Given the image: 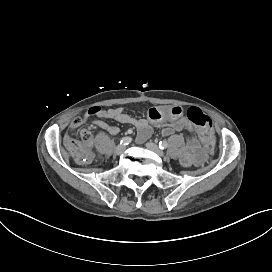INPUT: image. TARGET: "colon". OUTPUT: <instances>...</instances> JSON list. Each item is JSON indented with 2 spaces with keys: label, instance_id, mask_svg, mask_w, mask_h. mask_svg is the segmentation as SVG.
<instances>
[{
  "label": "colon",
  "instance_id": "5ec220e1",
  "mask_svg": "<svg viewBox=\"0 0 272 272\" xmlns=\"http://www.w3.org/2000/svg\"><path fill=\"white\" fill-rule=\"evenodd\" d=\"M189 129L198 131L206 148L212 149L215 146V136L212 120L207 113L199 107L190 106L187 112ZM91 142V134L84 132L81 134V140H75L71 144V153L76 160L82 161L87 158L88 145Z\"/></svg>",
  "mask_w": 272,
  "mask_h": 272
}]
</instances>
